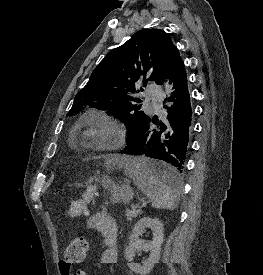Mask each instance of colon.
<instances>
[{
  "label": "colon",
  "instance_id": "5ec220e1",
  "mask_svg": "<svg viewBox=\"0 0 263 275\" xmlns=\"http://www.w3.org/2000/svg\"><path fill=\"white\" fill-rule=\"evenodd\" d=\"M97 187L95 184H91L82 194L79 199H76L70 203L69 215L72 217H79L88 212V209L96 195ZM88 253V244L84 238L73 239L65 249L64 258L60 261V266L63 270L67 271L71 269L74 264L83 262ZM77 275H86L84 271H78Z\"/></svg>",
  "mask_w": 263,
  "mask_h": 275
}]
</instances>
